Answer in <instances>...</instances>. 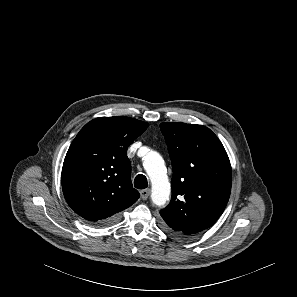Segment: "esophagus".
<instances>
[{
  "label": "esophagus",
  "instance_id": "esophagus-1",
  "mask_svg": "<svg viewBox=\"0 0 297 297\" xmlns=\"http://www.w3.org/2000/svg\"><path fill=\"white\" fill-rule=\"evenodd\" d=\"M150 195V189H144L140 191V196L143 200H147Z\"/></svg>",
  "mask_w": 297,
  "mask_h": 297
}]
</instances>
